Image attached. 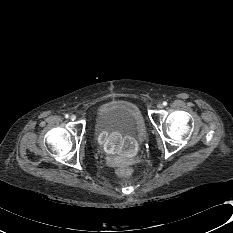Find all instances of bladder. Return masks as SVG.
<instances>
[{"label": "bladder", "mask_w": 233, "mask_h": 233, "mask_svg": "<svg viewBox=\"0 0 233 233\" xmlns=\"http://www.w3.org/2000/svg\"><path fill=\"white\" fill-rule=\"evenodd\" d=\"M92 131L97 137L101 133H119L146 138L147 126L139 108L129 102H109L98 108L92 120Z\"/></svg>", "instance_id": "obj_1"}]
</instances>
